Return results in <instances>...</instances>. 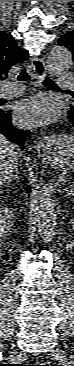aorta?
I'll return each instance as SVG.
<instances>
[{"mask_svg":"<svg viewBox=\"0 0 74 366\" xmlns=\"http://www.w3.org/2000/svg\"><path fill=\"white\" fill-rule=\"evenodd\" d=\"M72 65V54L64 46H54L48 53L47 68L53 75H60ZM57 225L56 204L49 198L41 199L37 211L38 234L45 243L51 242L55 236Z\"/></svg>","mask_w":74,"mask_h":366,"instance_id":"1","label":"aorta"}]
</instances>
